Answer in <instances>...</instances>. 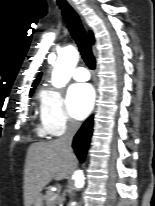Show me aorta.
<instances>
[{"label":"aorta","mask_w":155,"mask_h":206,"mask_svg":"<svg viewBox=\"0 0 155 206\" xmlns=\"http://www.w3.org/2000/svg\"><path fill=\"white\" fill-rule=\"evenodd\" d=\"M78 52L73 46H67L60 50L58 59L52 72V85L56 88L64 87L72 76L78 62ZM76 187H82L84 176L81 171L74 176Z\"/></svg>","instance_id":"1"}]
</instances>
